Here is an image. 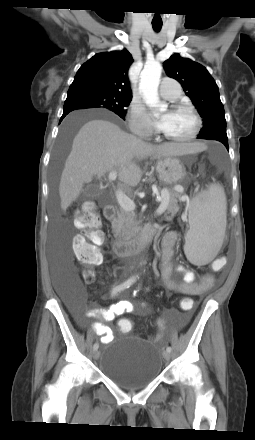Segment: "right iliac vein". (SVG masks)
I'll return each instance as SVG.
<instances>
[{
    "mask_svg": "<svg viewBox=\"0 0 255 440\" xmlns=\"http://www.w3.org/2000/svg\"><path fill=\"white\" fill-rule=\"evenodd\" d=\"M99 356H100L99 351H98V350H94V351H93V358H94L95 360H97V359L99 358Z\"/></svg>",
    "mask_w": 255,
    "mask_h": 440,
    "instance_id": "obj_1",
    "label": "right iliac vein"
}]
</instances>
